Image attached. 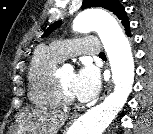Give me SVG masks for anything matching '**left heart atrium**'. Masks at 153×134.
<instances>
[{
    "label": "left heart atrium",
    "instance_id": "1",
    "mask_svg": "<svg viewBox=\"0 0 153 134\" xmlns=\"http://www.w3.org/2000/svg\"><path fill=\"white\" fill-rule=\"evenodd\" d=\"M100 89V79L97 71L89 65L81 68L76 74L73 83L75 98L82 102L92 100Z\"/></svg>",
    "mask_w": 153,
    "mask_h": 134
}]
</instances>
